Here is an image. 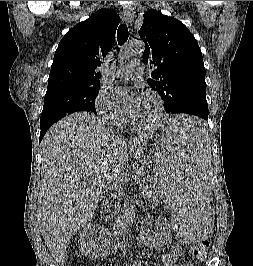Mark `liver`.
<instances>
[{"mask_svg": "<svg viewBox=\"0 0 253 266\" xmlns=\"http://www.w3.org/2000/svg\"><path fill=\"white\" fill-rule=\"evenodd\" d=\"M146 139L140 136L126 142L85 112L67 116L50 128L41 142L38 211L40 231L57 262L64 261L71 238L97 208L99 192L89 185L94 180L100 186L119 182L128 164L127 148L133 151Z\"/></svg>", "mask_w": 253, "mask_h": 266, "instance_id": "1", "label": "liver"}]
</instances>
